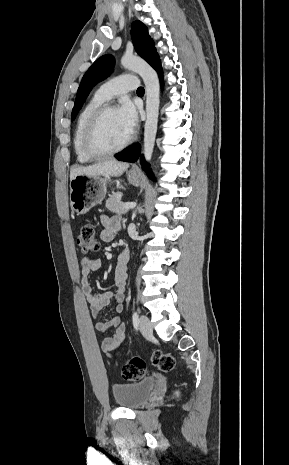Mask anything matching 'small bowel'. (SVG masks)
Returning a JSON list of instances; mask_svg holds the SVG:
<instances>
[{
  "mask_svg": "<svg viewBox=\"0 0 289 465\" xmlns=\"http://www.w3.org/2000/svg\"><path fill=\"white\" fill-rule=\"evenodd\" d=\"M102 223L103 230L100 235L101 240L103 242H109L120 229V222L116 217H103ZM101 266L102 260L99 256H84L80 260L82 291L90 305L92 317L94 319H96L99 312L111 302L115 303L116 312H122L127 280V263H123L119 257L114 274V289L104 293L94 292L89 283V277L92 273L99 270ZM95 327L101 333L112 332L111 335L106 336L101 343V350L109 356L112 355L125 339V325L121 323L119 317H113L108 321L96 322Z\"/></svg>",
  "mask_w": 289,
  "mask_h": 465,
  "instance_id": "obj_1",
  "label": "small bowel"
}]
</instances>
